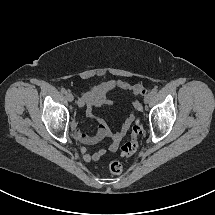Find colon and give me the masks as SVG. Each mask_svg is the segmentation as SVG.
<instances>
[{"label":"colon","mask_w":215,"mask_h":215,"mask_svg":"<svg viewBox=\"0 0 215 215\" xmlns=\"http://www.w3.org/2000/svg\"><path fill=\"white\" fill-rule=\"evenodd\" d=\"M142 133L143 125L139 120H136L131 129L130 139L126 141L121 147V155L123 157H130L136 152L138 148V138L142 135ZM107 167L109 172L116 176L121 175L123 172V166L117 160L108 162Z\"/></svg>","instance_id":"colon-1"}]
</instances>
